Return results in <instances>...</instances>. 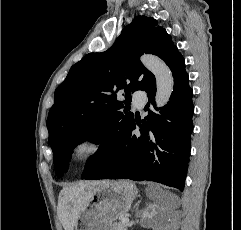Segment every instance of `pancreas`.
Instances as JSON below:
<instances>
[{
	"label": "pancreas",
	"mask_w": 241,
	"mask_h": 230,
	"mask_svg": "<svg viewBox=\"0 0 241 230\" xmlns=\"http://www.w3.org/2000/svg\"><path fill=\"white\" fill-rule=\"evenodd\" d=\"M127 227V224H124L122 222L112 224V230H127Z\"/></svg>",
	"instance_id": "pancreas-1"
}]
</instances>
